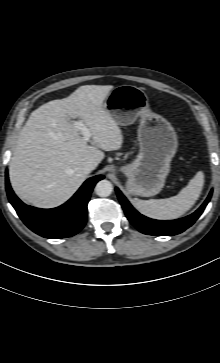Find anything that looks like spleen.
I'll use <instances>...</instances> for the list:
<instances>
[{"label": "spleen", "mask_w": 220, "mask_h": 363, "mask_svg": "<svg viewBox=\"0 0 220 363\" xmlns=\"http://www.w3.org/2000/svg\"><path fill=\"white\" fill-rule=\"evenodd\" d=\"M203 185L204 173L199 171L176 196L159 200L134 198V204L140 213L149 218L174 220L193 207L202 192Z\"/></svg>", "instance_id": "obj_1"}]
</instances>
